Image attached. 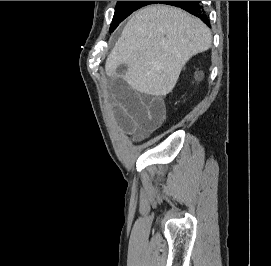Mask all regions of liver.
Here are the masks:
<instances>
[{
  "mask_svg": "<svg viewBox=\"0 0 271 266\" xmlns=\"http://www.w3.org/2000/svg\"><path fill=\"white\" fill-rule=\"evenodd\" d=\"M211 43V32L199 18L171 6H149L127 22L107 57L105 71L140 93L166 96L186 62ZM118 62L130 65L119 73Z\"/></svg>",
  "mask_w": 271,
  "mask_h": 266,
  "instance_id": "6515ba94",
  "label": "liver"
}]
</instances>
